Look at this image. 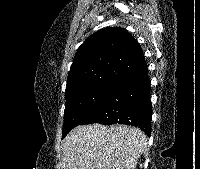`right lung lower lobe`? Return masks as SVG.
Masks as SVG:
<instances>
[{
	"label": "right lung lower lobe",
	"instance_id": "1",
	"mask_svg": "<svg viewBox=\"0 0 200 169\" xmlns=\"http://www.w3.org/2000/svg\"><path fill=\"white\" fill-rule=\"evenodd\" d=\"M148 70L117 81L107 99L81 124L115 123L139 127L151 134L152 108Z\"/></svg>",
	"mask_w": 200,
	"mask_h": 169
}]
</instances>
